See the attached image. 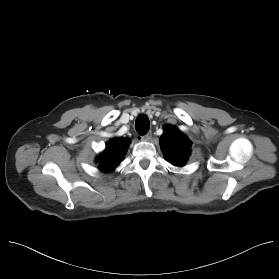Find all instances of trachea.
Wrapping results in <instances>:
<instances>
[{"label":"trachea","instance_id":"trachea-1","mask_svg":"<svg viewBox=\"0 0 279 279\" xmlns=\"http://www.w3.org/2000/svg\"><path fill=\"white\" fill-rule=\"evenodd\" d=\"M135 128L140 135H145L150 128L148 117L145 115H139L135 121Z\"/></svg>","mask_w":279,"mask_h":279}]
</instances>
